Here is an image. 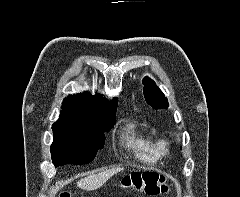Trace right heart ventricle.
Returning <instances> with one entry per match:
<instances>
[{
    "mask_svg": "<svg viewBox=\"0 0 240 197\" xmlns=\"http://www.w3.org/2000/svg\"><path fill=\"white\" fill-rule=\"evenodd\" d=\"M123 144L142 163L153 165L159 160L155 142L135 122L129 123L123 133Z\"/></svg>",
    "mask_w": 240,
    "mask_h": 197,
    "instance_id": "1",
    "label": "right heart ventricle"
}]
</instances>
